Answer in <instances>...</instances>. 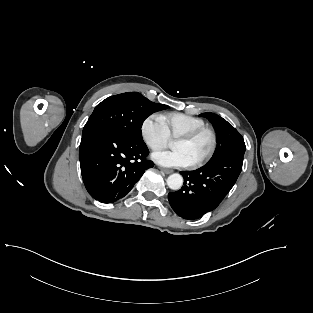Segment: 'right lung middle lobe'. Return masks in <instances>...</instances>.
Instances as JSON below:
<instances>
[{
    "label": "right lung middle lobe",
    "instance_id": "right-lung-middle-lobe-1",
    "mask_svg": "<svg viewBox=\"0 0 313 313\" xmlns=\"http://www.w3.org/2000/svg\"><path fill=\"white\" fill-rule=\"evenodd\" d=\"M168 106L151 102L140 93L127 92L106 98L98 104L83 128L82 135L106 129L128 139L142 141L141 127L153 112Z\"/></svg>",
    "mask_w": 313,
    "mask_h": 313
}]
</instances>
